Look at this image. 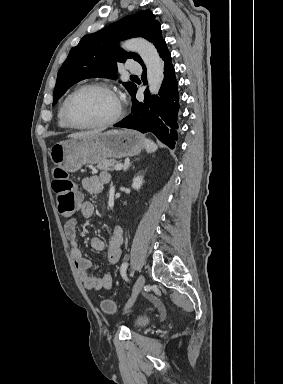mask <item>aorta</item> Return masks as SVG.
<instances>
[{
    "mask_svg": "<svg viewBox=\"0 0 283 384\" xmlns=\"http://www.w3.org/2000/svg\"><path fill=\"white\" fill-rule=\"evenodd\" d=\"M127 51L140 55L147 68V81L151 94H157L164 79V62L153 44L141 38H133L122 43Z\"/></svg>",
    "mask_w": 283,
    "mask_h": 384,
    "instance_id": "762f6f07",
    "label": "aorta"
}]
</instances>
